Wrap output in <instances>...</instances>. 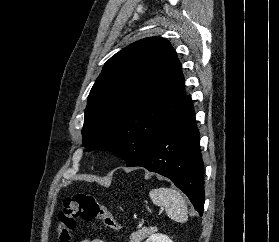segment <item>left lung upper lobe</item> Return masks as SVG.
I'll list each match as a JSON object with an SVG mask.
<instances>
[{"instance_id":"1","label":"left lung upper lobe","mask_w":279,"mask_h":242,"mask_svg":"<svg viewBox=\"0 0 279 242\" xmlns=\"http://www.w3.org/2000/svg\"><path fill=\"white\" fill-rule=\"evenodd\" d=\"M170 42L136 41L112 56L94 83L82 129L86 151L101 148L126 163L143 153L189 100Z\"/></svg>"}]
</instances>
